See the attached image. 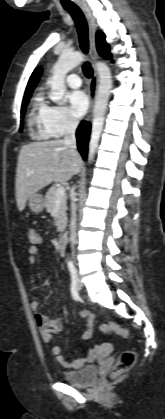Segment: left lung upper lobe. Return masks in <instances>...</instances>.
<instances>
[{
  "mask_svg": "<svg viewBox=\"0 0 165 419\" xmlns=\"http://www.w3.org/2000/svg\"><path fill=\"white\" fill-rule=\"evenodd\" d=\"M96 40H97V50L99 54L105 59H110L111 53H110L109 45L105 41V34L102 33L101 31H98Z\"/></svg>",
  "mask_w": 165,
  "mask_h": 419,
  "instance_id": "left-lung-upper-lobe-1",
  "label": "left lung upper lobe"
}]
</instances>
